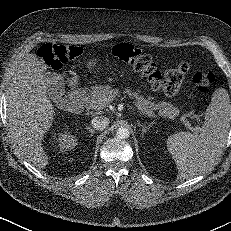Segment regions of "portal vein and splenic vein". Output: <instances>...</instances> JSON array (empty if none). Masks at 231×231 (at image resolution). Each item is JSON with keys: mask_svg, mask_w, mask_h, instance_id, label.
<instances>
[{"mask_svg": "<svg viewBox=\"0 0 231 231\" xmlns=\"http://www.w3.org/2000/svg\"><path fill=\"white\" fill-rule=\"evenodd\" d=\"M92 109H100V108L98 106H93ZM181 120L184 122V124L187 128H189L193 131L199 130V127H196V128L191 127V124L187 120H185L184 117H182Z\"/></svg>", "mask_w": 231, "mask_h": 231, "instance_id": "18ae733b", "label": "portal vein and splenic vein"}]
</instances>
